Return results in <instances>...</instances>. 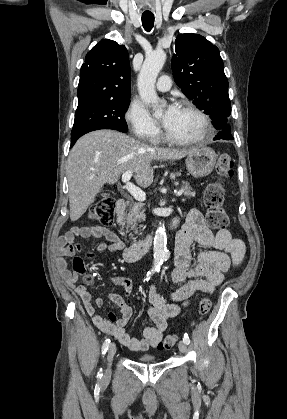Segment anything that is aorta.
Returning a JSON list of instances; mask_svg holds the SVG:
<instances>
[{"instance_id":"762f6f07","label":"aorta","mask_w":287,"mask_h":419,"mask_svg":"<svg viewBox=\"0 0 287 419\" xmlns=\"http://www.w3.org/2000/svg\"><path fill=\"white\" fill-rule=\"evenodd\" d=\"M166 60V53L163 50H156L146 58L138 75V91L144 103L155 108V114H161L157 107L159 97L155 90L156 78ZM153 269L159 270L164 261L169 258L167 250V236L164 224L157 228L153 242Z\"/></svg>"}]
</instances>
